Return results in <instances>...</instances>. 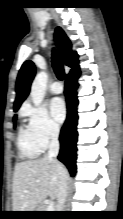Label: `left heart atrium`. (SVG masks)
Instances as JSON below:
<instances>
[{"label":"left heart atrium","instance_id":"39dd6f15","mask_svg":"<svg viewBox=\"0 0 123 219\" xmlns=\"http://www.w3.org/2000/svg\"><path fill=\"white\" fill-rule=\"evenodd\" d=\"M50 112L57 122H62L66 116L65 103L61 98H53L50 101Z\"/></svg>","mask_w":123,"mask_h":219}]
</instances>
